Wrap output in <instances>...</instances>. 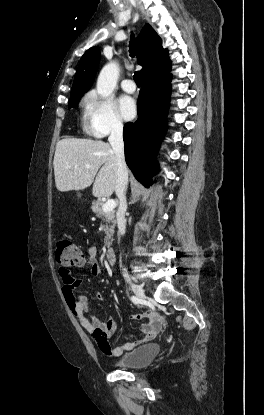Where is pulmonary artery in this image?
Returning a JSON list of instances; mask_svg holds the SVG:
<instances>
[{"instance_id":"1","label":"pulmonary artery","mask_w":264,"mask_h":415,"mask_svg":"<svg viewBox=\"0 0 264 415\" xmlns=\"http://www.w3.org/2000/svg\"><path fill=\"white\" fill-rule=\"evenodd\" d=\"M122 89L127 93H133L136 90V86L131 79H125L121 83Z\"/></svg>"}]
</instances>
